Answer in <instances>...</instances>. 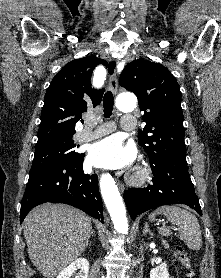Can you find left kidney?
<instances>
[{"label": "left kidney", "instance_id": "5707ae66", "mask_svg": "<svg viewBox=\"0 0 221 278\" xmlns=\"http://www.w3.org/2000/svg\"><path fill=\"white\" fill-rule=\"evenodd\" d=\"M150 278H169L167 264L164 262L150 271Z\"/></svg>", "mask_w": 221, "mask_h": 278}]
</instances>
